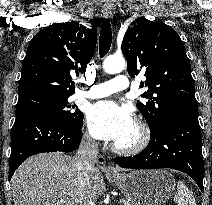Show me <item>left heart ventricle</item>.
Returning <instances> with one entry per match:
<instances>
[{
  "instance_id": "obj_1",
  "label": "left heart ventricle",
  "mask_w": 212,
  "mask_h": 205,
  "mask_svg": "<svg viewBox=\"0 0 212 205\" xmlns=\"http://www.w3.org/2000/svg\"><path fill=\"white\" fill-rule=\"evenodd\" d=\"M138 137V131L136 126L134 125L133 128L131 129V131L122 139H120L119 141H117L116 143L120 144V145H130L133 142H135V140Z\"/></svg>"
}]
</instances>
